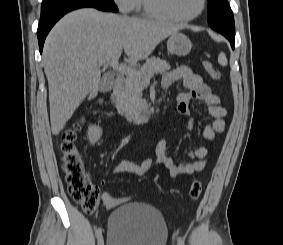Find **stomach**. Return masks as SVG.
Returning a JSON list of instances; mask_svg holds the SVG:
<instances>
[{
    "instance_id": "obj_1",
    "label": "stomach",
    "mask_w": 283,
    "mask_h": 245,
    "mask_svg": "<svg viewBox=\"0 0 283 245\" xmlns=\"http://www.w3.org/2000/svg\"><path fill=\"white\" fill-rule=\"evenodd\" d=\"M191 48L190 39L179 31L171 34L167 41V50L170 54L185 56L190 52Z\"/></svg>"
}]
</instances>
